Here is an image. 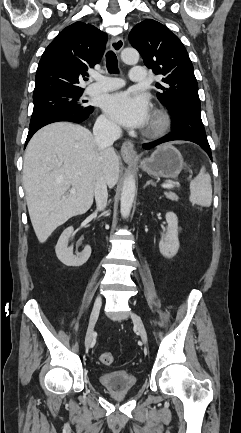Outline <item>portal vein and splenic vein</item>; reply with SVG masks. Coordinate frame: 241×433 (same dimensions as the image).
<instances>
[{
    "mask_svg": "<svg viewBox=\"0 0 241 433\" xmlns=\"http://www.w3.org/2000/svg\"><path fill=\"white\" fill-rule=\"evenodd\" d=\"M174 186L175 185L171 184V183H165V184L162 185V187L165 188V189H172V188H174ZM75 192H76V189L74 187H72L71 190H70V193L73 194Z\"/></svg>",
    "mask_w": 241,
    "mask_h": 433,
    "instance_id": "18ae733b",
    "label": "portal vein and splenic vein"
}]
</instances>
